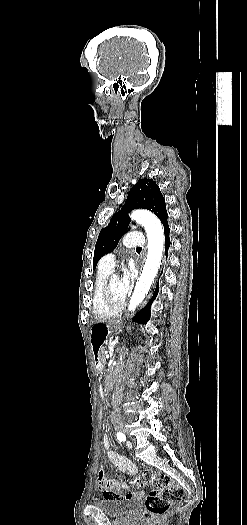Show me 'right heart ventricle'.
Here are the masks:
<instances>
[{
	"label": "right heart ventricle",
	"mask_w": 247,
	"mask_h": 525,
	"mask_svg": "<svg viewBox=\"0 0 247 525\" xmlns=\"http://www.w3.org/2000/svg\"><path fill=\"white\" fill-rule=\"evenodd\" d=\"M107 256H104L100 261L96 285L92 295V306L94 317H114V311L103 303L100 295V288L113 273L112 265H106Z\"/></svg>",
	"instance_id": "1"
}]
</instances>
